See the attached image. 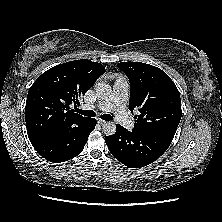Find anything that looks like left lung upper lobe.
<instances>
[{"label": "left lung upper lobe", "instance_id": "left-lung-upper-lobe-1", "mask_svg": "<svg viewBox=\"0 0 222 222\" xmlns=\"http://www.w3.org/2000/svg\"><path fill=\"white\" fill-rule=\"evenodd\" d=\"M118 68L131 86L130 110L140 115L134 130L175 134L181 120L180 93L171 78L161 69L141 62H121Z\"/></svg>", "mask_w": 222, "mask_h": 222}]
</instances>
